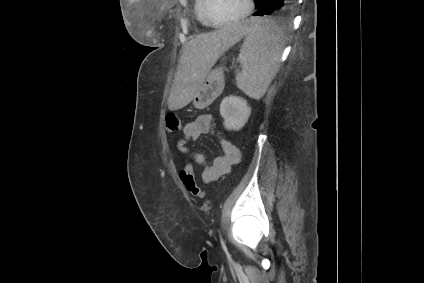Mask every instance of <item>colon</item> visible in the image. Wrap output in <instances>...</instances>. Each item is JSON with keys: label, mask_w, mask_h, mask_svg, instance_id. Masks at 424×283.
Here are the masks:
<instances>
[{"label": "colon", "mask_w": 424, "mask_h": 283, "mask_svg": "<svg viewBox=\"0 0 424 283\" xmlns=\"http://www.w3.org/2000/svg\"><path fill=\"white\" fill-rule=\"evenodd\" d=\"M166 128L170 133L180 132L183 128L182 120L176 114L170 113L166 116ZM180 179L190 194L198 198H203L205 196L204 191L195 180L193 167L191 165L185 166L180 172Z\"/></svg>", "instance_id": "colon-1"}]
</instances>
